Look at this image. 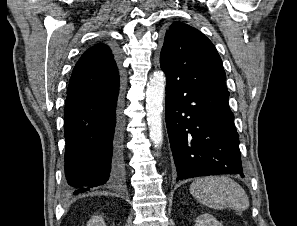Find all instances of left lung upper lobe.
I'll return each instance as SVG.
<instances>
[{
    "instance_id": "5c2ea615",
    "label": "left lung upper lobe",
    "mask_w": 297,
    "mask_h": 226,
    "mask_svg": "<svg viewBox=\"0 0 297 226\" xmlns=\"http://www.w3.org/2000/svg\"><path fill=\"white\" fill-rule=\"evenodd\" d=\"M166 76L199 90H227L221 58L199 30L175 22L167 30L160 56Z\"/></svg>"
}]
</instances>
